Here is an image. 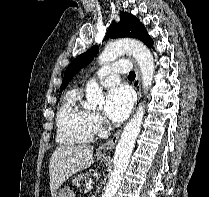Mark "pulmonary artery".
I'll list each match as a JSON object with an SVG mask.
<instances>
[{"mask_svg": "<svg viewBox=\"0 0 209 197\" xmlns=\"http://www.w3.org/2000/svg\"><path fill=\"white\" fill-rule=\"evenodd\" d=\"M130 68L131 65L126 60H120L102 66L95 72L94 76L103 86H115L120 82L119 74L128 73Z\"/></svg>", "mask_w": 209, "mask_h": 197, "instance_id": "1", "label": "pulmonary artery"}]
</instances>
